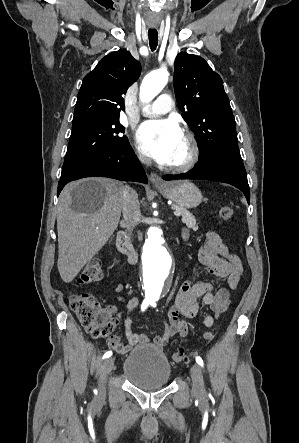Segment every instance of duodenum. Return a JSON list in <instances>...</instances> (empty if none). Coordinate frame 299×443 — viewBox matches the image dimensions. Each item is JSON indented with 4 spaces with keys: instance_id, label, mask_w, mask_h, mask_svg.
I'll use <instances>...</instances> for the list:
<instances>
[{
    "instance_id": "410a0bca",
    "label": "duodenum",
    "mask_w": 299,
    "mask_h": 443,
    "mask_svg": "<svg viewBox=\"0 0 299 443\" xmlns=\"http://www.w3.org/2000/svg\"><path fill=\"white\" fill-rule=\"evenodd\" d=\"M116 245L119 251L128 257L130 263H135L136 253L125 232L120 231L117 233Z\"/></svg>"
}]
</instances>
